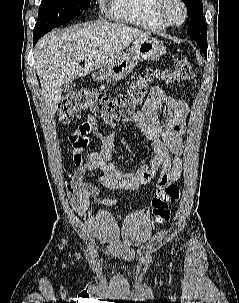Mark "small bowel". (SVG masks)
<instances>
[{"instance_id": "obj_1", "label": "small bowel", "mask_w": 239, "mask_h": 303, "mask_svg": "<svg viewBox=\"0 0 239 303\" xmlns=\"http://www.w3.org/2000/svg\"><path fill=\"white\" fill-rule=\"evenodd\" d=\"M163 104H167L169 115L161 120L158 112ZM186 109V105L167 95L162 87L155 86L151 89L142 111L127 118L126 121L134 123L142 131L151 145L153 158L149 163H142L129 171L121 170L113 161L118 144L115 125L107 122L113 132L102 135L97 119L93 115L85 117L69 137L76 166L75 177L80 180L90 171H99L100 177L98 184H85L76 193L73 203L75 212L86 217L90 197H95L101 206H113L116 203L115 199L98 197L100 187L136 190L142 184L155 180L156 188L159 190L178 182L183 166L180 158L184 132L181 117ZM92 142L97 143V149L85 152L86 147Z\"/></svg>"}]
</instances>
